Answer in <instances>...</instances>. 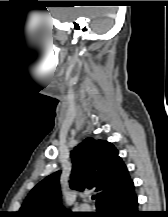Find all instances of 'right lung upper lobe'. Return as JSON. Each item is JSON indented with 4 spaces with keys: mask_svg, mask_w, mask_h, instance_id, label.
Returning a JSON list of instances; mask_svg holds the SVG:
<instances>
[{
    "mask_svg": "<svg viewBox=\"0 0 168 217\" xmlns=\"http://www.w3.org/2000/svg\"><path fill=\"white\" fill-rule=\"evenodd\" d=\"M70 157L73 163L70 188L98 192L97 209L134 186L118 150L110 142L86 138L73 149ZM60 174L61 171H57L49 175L31 190L18 217L76 215L66 211L60 203Z\"/></svg>",
    "mask_w": 168,
    "mask_h": 217,
    "instance_id": "1",
    "label": "right lung upper lobe"
}]
</instances>
